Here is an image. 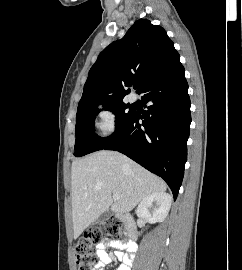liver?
<instances>
[{
	"mask_svg": "<svg viewBox=\"0 0 242 270\" xmlns=\"http://www.w3.org/2000/svg\"><path fill=\"white\" fill-rule=\"evenodd\" d=\"M71 179L75 239L107 209L127 213L149 194L166 191L162 179L115 151L75 160ZM112 194L120 198L113 200Z\"/></svg>",
	"mask_w": 242,
	"mask_h": 270,
	"instance_id": "obj_1",
	"label": "liver"
}]
</instances>
